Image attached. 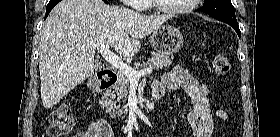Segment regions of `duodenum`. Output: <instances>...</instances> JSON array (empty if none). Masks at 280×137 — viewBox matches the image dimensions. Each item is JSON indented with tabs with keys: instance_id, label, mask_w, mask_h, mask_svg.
Segmentation results:
<instances>
[{
	"instance_id": "1",
	"label": "duodenum",
	"mask_w": 280,
	"mask_h": 137,
	"mask_svg": "<svg viewBox=\"0 0 280 137\" xmlns=\"http://www.w3.org/2000/svg\"><path fill=\"white\" fill-rule=\"evenodd\" d=\"M117 82V73L115 71H108L95 84L96 91L100 92L112 88ZM153 94L157 99L162 97L161 90L154 88Z\"/></svg>"
}]
</instances>
